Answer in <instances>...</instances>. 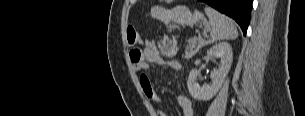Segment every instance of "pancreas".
Returning <instances> with one entry per match:
<instances>
[{"instance_id":"obj_1","label":"pancreas","mask_w":305,"mask_h":116,"mask_svg":"<svg viewBox=\"0 0 305 116\" xmlns=\"http://www.w3.org/2000/svg\"><path fill=\"white\" fill-rule=\"evenodd\" d=\"M198 41H199V38H198ZM201 47H202V43L197 45L193 42H189L186 46L185 58L189 59V58L193 57Z\"/></svg>"}]
</instances>
